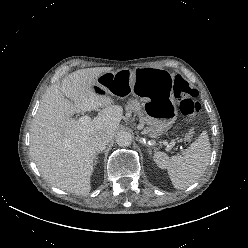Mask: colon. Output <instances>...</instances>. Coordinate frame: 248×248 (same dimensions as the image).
I'll return each mask as SVG.
<instances>
[{"mask_svg": "<svg viewBox=\"0 0 248 248\" xmlns=\"http://www.w3.org/2000/svg\"><path fill=\"white\" fill-rule=\"evenodd\" d=\"M173 91L175 97L180 101L182 114L186 117L195 116L200 109V104L196 100V90L182 76L177 75L174 79ZM193 138L194 129L190 128L184 136V141L190 143Z\"/></svg>", "mask_w": 248, "mask_h": 248, "instance_id": "colon-1", "label": "colon"}]
</instances>
